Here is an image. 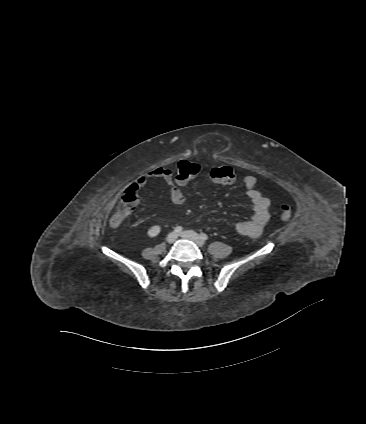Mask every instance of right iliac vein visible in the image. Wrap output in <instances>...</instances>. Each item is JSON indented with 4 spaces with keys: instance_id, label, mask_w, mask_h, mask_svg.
<instances>
[{
    "instance_id": "right-iliac-vein-1",
    "label": "right iliac vein",
    "mask_w": 366,
    "mask_h": 424,
    "mask_svg": "<svg viewBox=\"0 0 366 424\" xmlns=\"http://www.w3.org/2000/svg\"><path fill=\"white\" fill-rule=\"evenodd\" d=\"M176 239H177V234L175 232H171L170 234H168L166 238L168 243H173L175 242Z\"/></svg>"
}]
</instances>
